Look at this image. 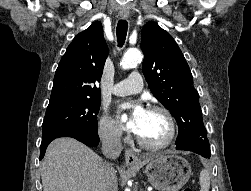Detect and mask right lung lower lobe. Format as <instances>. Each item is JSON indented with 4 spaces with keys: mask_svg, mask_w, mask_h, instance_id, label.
<instances>
[{
    "mask_svg": "<svg viewBox=\"0 0 251 191\" xmlns=\"http://www.w3.org/2000/svg\"><path fill=\"white\" fill-rule=\"evenodd\" d=\"M59 137H72L77 139L78 141H81L89 147H95L99 144V136L97 132H92L76 127L61 129L53 132L46 137H42V143L40 146V159L44 156L48 144L55 138Z\"/></svg>",
    "mask_w": 251,
    "mask_h": 191,
    "instance_id": "right-lung-lower-lobe-1",
    "label": "right lung lower lobe"
}]
</instances>
